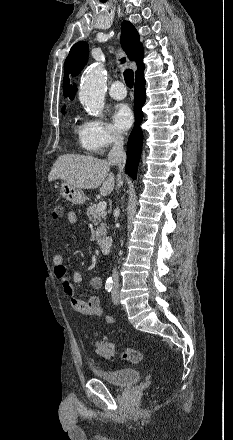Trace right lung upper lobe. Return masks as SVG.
I'll use <instances>...</instances> for the list:
<instances>
[{
  "label": "right lung upper lobe",
  "mask_w": 233,
  "mask_h": 440,
  "mask_svg": "<svg viewBox=\"0 0 233 440\" xmlns=\"http://www.w3.org/2000/svg\"><path fill=\"white\" fill-rule=\"evenodd\" d=\"M121 45L125 50L128 58L132 61H136L137 71L136 77L143 74V49L140 43V37L135 27L128 21L122 23L121 31ZM88 60V44L80 41L73 45L68 57L64 64V81H63V94L65 97L74 99L76 86L69 85V77L76 76L83 69ZM64 110V107L62 108Z\"/></svg>",
  "instance_id": "cb5924a9"
}]
</instances>
